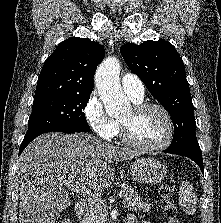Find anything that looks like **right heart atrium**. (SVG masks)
I'll return each instance as SVG.
<instances>
[{"mask_svg": "<svg viewBox=\"0 0 221 223\" xmlns=\"http://www.w3.org/2000/svg\"><path fill=\"white\" fill-rule=\"evenodd\" d=\"M83 114L90 128L102 139H113L119 130L118 124L110 118L96 93H91L83 108Z\"/></svg>", "mask_w": 221, "mask_h": 223, "instance_id": "obj_1", "label": "right heart atrium"}]
</instances>
